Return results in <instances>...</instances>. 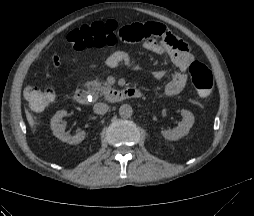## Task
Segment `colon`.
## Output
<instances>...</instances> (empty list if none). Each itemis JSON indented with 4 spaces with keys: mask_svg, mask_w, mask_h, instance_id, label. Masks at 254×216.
<instances>
[{
    "mask_svg": "<svg viewBox=\"0 0 254 216\" xmlns=\"http://www.w3.org/2000/svg\"><path fill=\"white\" fill-rule=\"evenodd\" d=\"M118 28V24L114 21L94 22L81 26L68 34L63 43L71 51L113 46L119 41ZM188 72L199 95L203 98L209 97L214 86L213 75L209 67L200 62H192ZM25 98L32 110L41 112L53 102L54 93L51 89L30 86L25 91Z\"/></svg>",
    "mask_w": 254,
    "mask_h": 216,
    "instance_id": "5ec220e1",
    "label": "colon"
}]
</instances>
